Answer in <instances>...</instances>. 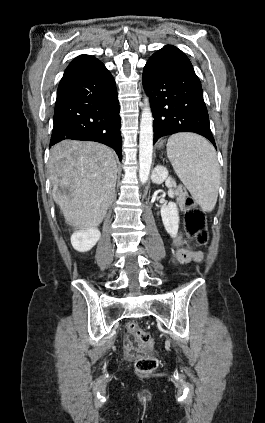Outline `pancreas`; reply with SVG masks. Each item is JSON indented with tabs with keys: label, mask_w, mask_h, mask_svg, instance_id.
<instances>
[{
	"label": "pancreas",
	"mask_w": 265,
	"mask_h": 423,
	"mask_svg": "<svg viewBox=\"0 0 265 423\" xmlns=\"http://www.w3.org/2000/svg\"><path fill=\"white\" fill-rule=\"evenodd\" d=\"M178 195H179V198H178L179 204L182 206L184 203V197L186 196V192L180 189L178 192Z\"/></svg>",
	"instance_id": "1"
}]
</instances>
